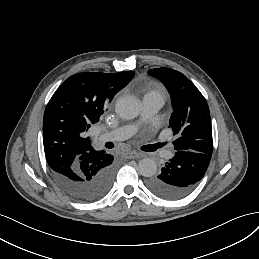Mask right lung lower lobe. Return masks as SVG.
Wrapping results in <instances>:
<instances>
[{
	"label": "right lung lower lobe",
	"mask_w": 259,
	"mask_h": 259,
	"mask_svg": "<svg viewBox=\"0 0 259 259\" xmlns=\"http://www.w3.org/2000/svg\"><path fill=\"white\" fill-rule=\"evenodd\" d=\"M113 159L103 150L88 161L80 162L70 172L52 171V174L68 196L80 202H93L106 195L111 188L115 175Z\"/></svg>",
	"instance_id": "right-lung-lower-lobe-1"
}]
</instances>
